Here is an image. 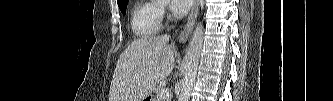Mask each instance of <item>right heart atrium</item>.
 <instances>
[{"label": "right heart atrium", "mask_w": 333, "mask_h": 101, "mask_svg": "<svg viewBox=\"0 0 333 101\" xmlns=\"http://www.w3.org/2000/svg\"><path fill=\"white\" fill-rule=\"evenodd\" d=\"M160 16L161 18L166 16V10L163 7L160 8Z\"/></svg>", "instance_id": "right-heart-atrium-1"}]
</instances>
